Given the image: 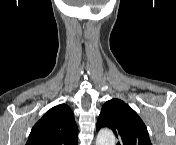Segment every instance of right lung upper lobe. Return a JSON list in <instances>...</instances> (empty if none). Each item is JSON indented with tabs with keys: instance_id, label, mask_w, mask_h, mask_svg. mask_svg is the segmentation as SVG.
I'll list each match as a JSON object with an SVG mask.
<instances>
[{
	"instance_id": "obj_1",
	"label": "right lung upper lobe",
	"mask_w": 176,
	"mask_h": 145,
	"mask_svg": "<svg viewBox=\"0 0 176 145\" xmlns=\"http://www.w3.org/2000/svg\"><path fill=\"white\" fill-rule=\"evenodd\" d=\"M78 128L69 106L51 108L32 128L27 145H76Z\"/></svg>"
}]
</instances>
